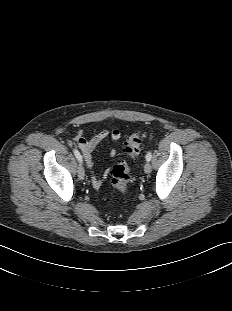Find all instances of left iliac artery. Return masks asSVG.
Masks as SVG:
<instances>
[{
  "mask_svg": "<svg viewBox=\"0 0 232 311\" xmlns=\"http://www.w3.org/2000/svg\"><path fill=\"white\" fill-rule=\"evenodd\" d=\"M151 158H152V153H151V151H148V153L146 154V160L150 161Z\"/></svg>",
  "mask_w": 232,
  "mask_h": 311,
  "instance_id": "obj_1",
  "label": "left iliac artery"
}]
</instances>
